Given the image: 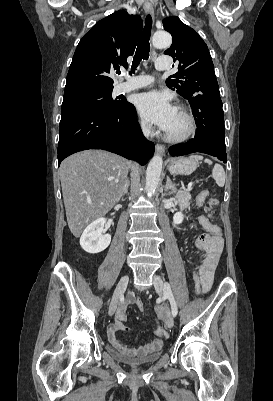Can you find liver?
<instances>
[{
  "label": "liver",
  "mask_w": 273,
  "mask_h": 401,
  "mask_svg": "<svg viewBox=\"0 0 273 401\" xmlns=\"http://www.w3.org/2000/svg\"><path fill=\"white\" fill-rule=\"evenodd\" d=\"M128 168L129 160L106 150H82L61 162L67 223L74 237L120 201Z\"/></svg>",
  "instance_id": "obj_1"
}]
</instances>
